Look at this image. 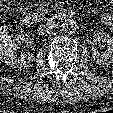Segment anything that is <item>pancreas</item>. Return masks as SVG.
<instances>
[{
	"instance_id": "cf45deb5",
	"label": "pancreas",
	"mask_w": 113,
	"mask_h": 113,
	"mask_svg": "<svg viewBox=\"0 0 113 113\" xmlns=\"http://www.w3.org/2000/svg\"><path fill=\"white\" fill-rule=\"evenodd\" d=\"M49 10L46 8H39L37 9V12L35 13L36 15H44L45 13H47Z\"/></svg>"
}]
</instances>
